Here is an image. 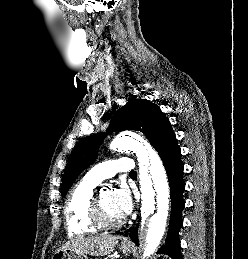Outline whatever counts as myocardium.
<instances>
[{
    "label": "myocardium",
    "instance_id": "myocardium-1",
    "mask_svg": "<svg viewBox=\"0 0 248 259\" xmlns=\"http://www.w3.org/2000/svg\"><path fill=\"white\" fill-rule=\"evenodd\" d=\"M100 192L93 194L90 204V218L95 226L98 228H117L124 224L125 219L122 217L119 220L111 221L108 220L103 212L102 205L99 198Z\"/></svg>",
    "mask_w": 248,
    "mask_h": 259
}]
</instances>
